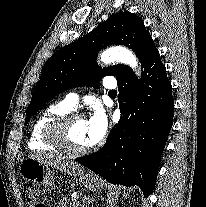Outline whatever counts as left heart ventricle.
Masks as SVG:
<instances>
[{
	"mask_svg": "<svg viewBox=\"0 0 206 207\" xmlns=\"http://www.w3.org/2000/svg\"><path fill=\"white\" fill-rule=\"evenodd\" d=\"M65 137L68 144L74 149H83L91 146L86 120H76L72 122L65 130Z\"/></svg>",
	"mask_w": 206,
	"mask_h": 207,
	"instance_id": "left-heart-ventricle-1",
	"label": "left heart ventricle"
}]
</instances>
